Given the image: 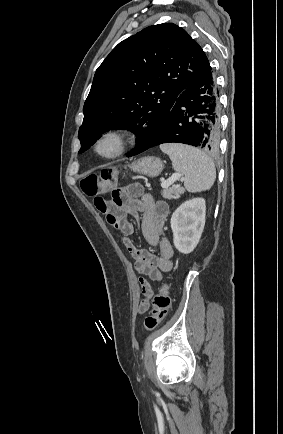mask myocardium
I'll return each instance as SVG.
<instances>
[{"label":"myocardium","instance_id":"myocardium-1","mask_svg":"<svg viewBox=\"0 0 283 434\" xmlns=\"http://www.w3.org/2000/svg\"><path fill=\"white\" fill-rule=\"evenodd\" d=\"M128 132L121 128H110L101 132L93 143L94 152L103 159H114L128 147Z\"/></svg>","mask_w":283,"mask_h":434}]
</instances>
